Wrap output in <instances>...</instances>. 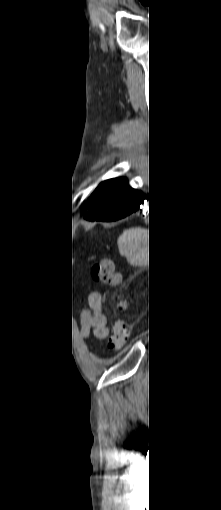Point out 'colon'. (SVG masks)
Returning <instances> with one entry per match:
<instances>
[{"instance_id": "1", "label": "colon", "mask_w": 221, "mask_h": 510, "mask_svg": "<svg viewBox=\"0 0 221 510\" xmlns=\"http://www.w3.org/2000/svg\"><path fill=\"white\" fill-rule=\"evenodd\" d=\"M92 279L95 282L105 285H115L118 277L114 272L113 264L109 259H102L93 264L91 269ZM130 335L128 327L121 323H116L114 330L108 342V348L113 351L120 350L126 344Z\"/></svg>"}]
</instances>
